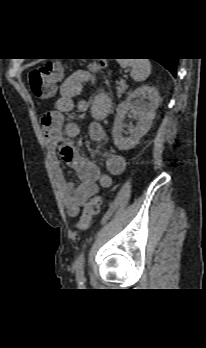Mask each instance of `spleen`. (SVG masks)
<instances>
[{
    "label": "spleen",
    "mask_w": 206,
    "mask_h": 348,
    "mask_svg": "<svg viewBox=\"0 0 206 348\" xmlns=\"http://www.w3.org/2000/svg\"><path fill=\"white\" fill-rule=\"evenodd\" d=\"M118 63L123 68L130 67V75L137 82L144 81L151 73V64L148 59H119Z\"/></svg>",
    "instance_id": "spleen-1"
}]
</instances>
